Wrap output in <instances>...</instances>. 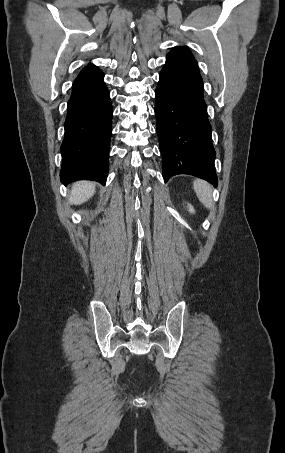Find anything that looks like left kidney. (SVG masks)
<instances>
[{
	"label": "left kidney",
	"instance_id": "5707ae66",
	"mask_svg": "<svg viewBox=\"0 0 285 453\" xmlns=\"http://www.w3.org/2000/svg\"><path fill=\"white\" fill-rule=\"evenodd\" d=\"M188 207H189V212L190 213H195V210L193 208V206L191 204H188Z\"/></svg>",
	"mask_w": 285,
	"mask_h": 453
}]
</instances>
